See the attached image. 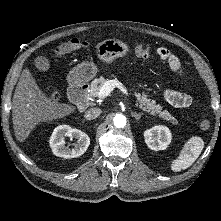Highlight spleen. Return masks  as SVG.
Listing matches in <instances>:
<instances>
[{"label":"spleen","instance_id":"spleen-1","mask_svg":"<svg viewBox=\"0 0 221 221\" xmlns=\"http://www.w3.org/2000/svg\"><path fill=\"white\" fill-rule=\"evenodd\" d=\"M203 147L204 141L200 137L194 136L190 138L179 156L172 162L171 170L178 172L190 167L201 154Z\"/></svg>","mask_w":221,"mask_h":221}]
</instances>
